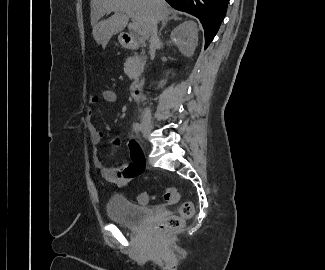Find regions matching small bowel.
Segmentation results:
<instances>
[{"label":"small bowel","instance_id":"obj_1","mask_svg":"<svg viewBox=\"0 0 325 270\" xmlns=\"http://www.w3.org/2000/svg\"><path fill=\"white\" fill-rule=\"evenodd\" d=\"M99 100L100 97L97 95H92L89 98V103L93 105L96 104ZM86 126L89 131L91 143L95 147L93 151V162L99 169L100 174L105 181L112 183L118 187H123L142 173L145 167L144 161L141 159V155L137 146L131 141L128 145V153L132 160L131 163L125 162L117 166L104 163L103 159L97 151V146L102 143L104 134L102 131L96 128L94 121V112L91 108L87 110ZM114 142L118 143V139H115Z\"/></svg>","mask_w":325,"mask_h":270}]
</instances>
